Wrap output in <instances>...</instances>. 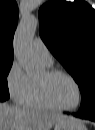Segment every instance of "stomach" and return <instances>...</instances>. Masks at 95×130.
Returning a JSON list of instances; mask_svg holds the SVG:
<instances>
[{
	"label": "stomach",
	"mask_w": 95,
	"mask_h": 130,
	"mask_svg": "<svg viewBox=\"0 0 95 130\" xmlns=\"http://www.w3.org/2000/svg\"><path fill=\"white\" fill-rule=\"evenodd\" d=\"M53 130H87V128L80 120L68 117L56 123Z\"/></svg>",
	"instance_id": "1"
}]
</instances>
